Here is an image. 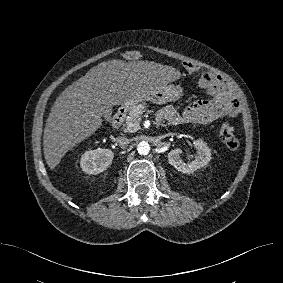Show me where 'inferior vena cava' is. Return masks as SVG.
Listing matches in <instances>:
<instances>
[{
  "label": "inferior vena cava",
  "mask_w": 283,
  "mask_h": 283,
  "mask_svg": "<svg viewBox=\"0 0 283 283\" xmlns=\"http://www.w3.org/2000/svg\"><path fill=\"white\" fill-rule=\"evenodd\" d=\"M130 141L131 140L129 138L125 137V136H119L117 138V143L123 149L126 148L130 144Z\"/></svg>",
  "instance_id": "602c4592"
}]
</instances>
